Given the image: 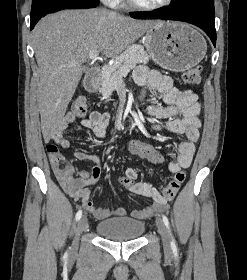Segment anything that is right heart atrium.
<instances>
[{
	"label": "right heart atrium",
	"instance_id": "obj_1",
	"mask_svg": "<svg viewBox=\"0 0 247 280\" xmlns=\"http://www.w3.org/2000/svg\"><path fill=\"white\" fill-rule=\"evenodd\" d=\"M102 2H104L105 4L111 5V6H115L117 5L121 0H101Z\"/></svg>",
	"mask_w": 247,
	"mask_h": 280
}]
</instances>
